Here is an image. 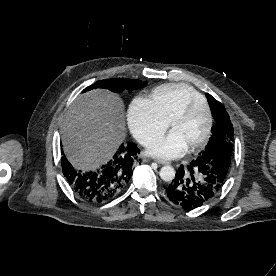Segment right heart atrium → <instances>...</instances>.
<instances>
[{
  "label": "right heart atrium",
  "mask_w": 276,
  "mask_h": 276,
  "mask_svg": "<svg viewBox=\"0 0 276 276\" xmlns=\"http://www.w3.org/2000/svg\"><path fill=\"white\" fill-rule=\"evenodd\" d=\"M130 129L135 138L149 146L168 128V121L161 115L155 104L147 98L136 97L128 110Z\"/></svg>",
  "instance_id": "1"
}]
</instances>
